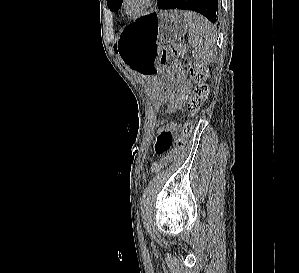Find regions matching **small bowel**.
I'll return each instance as SVG.
<instances>
[{
  "instance_id": "1",
  "label": "small bowel",
  "mask_w": 299,
  "mask_h": 273,
  "mask_svg": "<svg viewBox=\"0 0 299 273\" xmlns=\"http://www.w3.org/2000/svg\"><path fill=\"white\" fill-rule=\"evenodd\" d=\"M177 130L178 126L176 124H169L160 131L155 144L157 154L165 153L172 146L174 134Z\"/></svg>"
}]
</instances>
